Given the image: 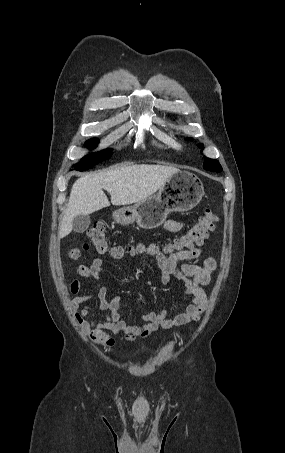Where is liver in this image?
<instances>
[{"label": "liver", "instance_id": "6515ba94", "mask_svg": "<svg viewBox=\"0 0 285 453\" xmlns=\"http://www.w3.org/2000/svg\"><path fill=\"white\" fill-rule=\"evenodd\" d=\"M179 169L162 165H130L83 176L72 186L68 205L60 225L59 238L69 235L73 219L110 206L103 189L110 193L113 205L138 203L161 189Z\"/></svg>", "mask_w": 285, "mask_h": 453}]
</instances>
